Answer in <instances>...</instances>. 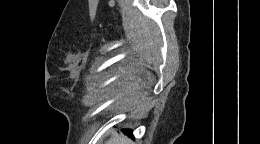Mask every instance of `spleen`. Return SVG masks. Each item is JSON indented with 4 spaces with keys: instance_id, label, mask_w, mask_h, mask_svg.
<instances>
[{
    "instance_id": "3e777b00",
    "label": "spleen",
    "mask_w": 260,
    "mask_h": 144,
    "mask_svg": "<svg viewBox=\"0 0 260 144\" xmlns=\"http://www.w3.org/2000/svg\"><path fill=\"white\" fill-rule=\"evenodd\" d=\"M129 140L123 135H114L107 144H128Z\"/></svg>"
}]
</instances>
